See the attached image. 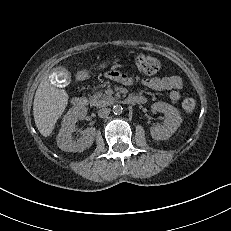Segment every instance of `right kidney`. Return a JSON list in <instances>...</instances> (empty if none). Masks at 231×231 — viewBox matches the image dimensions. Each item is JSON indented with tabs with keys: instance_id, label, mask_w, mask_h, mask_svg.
I'll return each instance as SVG.
<instances>
[{
	"instance_id": "obj_1",
	"label": "right kidney",
	"mask_w": 231,
	"mask_h": 231,
	"mask_svg": "<svg viewBox=\"0 0 231 231\" xmlns=\"http://www.w3.org/2000/svg\"><path fill=\"white\" fill-rule=\"evenodd\" d=\"M85 115V111L77 108H71L66 113L57 140V145L61 150L67 152H83L85 149L92 146L96 133L94 127L82 131V136L77 141H74L71 136V133L76 130V122L83 119Z\"/></svg>"
}]
</instances>
